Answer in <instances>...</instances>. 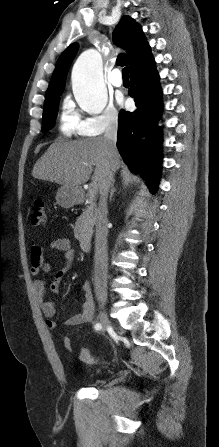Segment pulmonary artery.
<instances>
[{
	"label": "pulmonary artery",
	"instance_id": "e3ab8cb5",
	"mask_svg": "<svg viewBox=\"0 0 219 447\" xmlns=\"http://www.w3.org/2000/svg\"><path fill=\"white\" fill-rule=\"evenodd\" d=\"M108 81L114 87H121L123 84V79L119 69H114L110 72L108 76Z\"/></svg>",
	"mask_w": 219,
	"mask_h": 447
}]
</instances>
